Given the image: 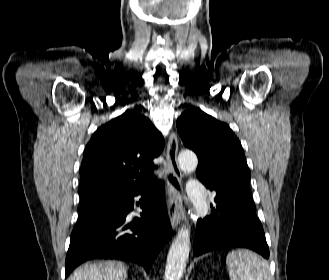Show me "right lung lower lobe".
Segmentation results:
<instances>
[{
  "label": "right lung lower lobe",
  "mask_w": 329,
  "mask_h": 280,
  "mask_svg": "<svg viewBox=\"0 0 329 280\" xmlns=\"http://www.w3.org/2000/svg\"><path fill=\"white\" fill-rule=\"evenodd\" d=\"M141 195V218L128 222L134 197ZM164 184H148L101 192L84 201L71 234L65 277L91 259H119L150 270L172 230L164 202ZM136 205H139L137 202Z\"/></svg>",
  "instance_id": "obj_1"
}]
</instances>
